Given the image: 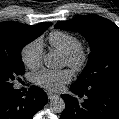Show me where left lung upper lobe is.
I'll return each instance as SVG.
<instances>
[{
    "instance_id": "left-lung-upper-lobe-1",
    "label": "left lung upper lobe",
    "mask_w": 119,
    "mask_h": 119,
    "mask_svg": "<svg viewBox=\"0 0 119 119\" xmlns=\"http://www.w3.org/2000/svg\"><path fill=\"white\" fill-rule=\"evenodd\" d=\"M55 27L79 32L90 44L88 63L74 83L76 87H119V27L97 15L78 16Z\"/></svg>"
}]
</instances>
